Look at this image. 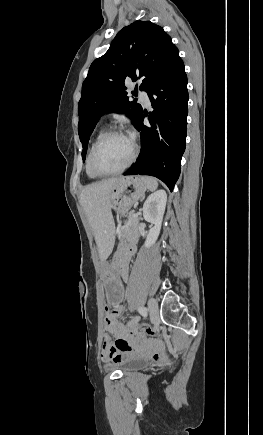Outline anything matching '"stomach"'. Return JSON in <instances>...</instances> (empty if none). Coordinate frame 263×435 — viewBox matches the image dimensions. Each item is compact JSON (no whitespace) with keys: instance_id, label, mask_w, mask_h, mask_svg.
Here are the masks:
<instances>
[{"instance_id":"1","label":"stomach","mask_w":263,"mask_h":435,"mask_svg":"<svg viewBox=\"0 0 263 435\" xmlns=\"http://www.w3.org/2000/svg\"><path fill=\"white\" fill-rule=\"evenodd\" d=\"M146 191V185L140 177L121 178L111 189V207L117 214L123 215L128 209L142 198ZM125 263L117 258H110L104 265L101 281L104 282L103 293L106 305H123L126 286Z\"/></svg>"}]
</instances>
